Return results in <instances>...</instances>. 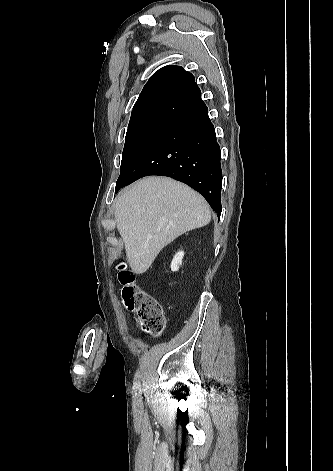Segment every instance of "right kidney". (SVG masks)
<instances>
[{
  "mask_svg": "<svg viewBox=\"0 0 333 471\" xmlns=\"http://www.w3.org/2000/svg\"><path fill=\"white\" fill-rule=\"evenodd\" d=\"M184 256L183 251H179L175 254L172 262H171V270L172 271H178L180 266L182 265V259Z\"/></svg>",
  "mask_w": 333,
  "mask_h": 471,
  "instance_id": "1",
  "label": "right kidney"
}]
</instances>
